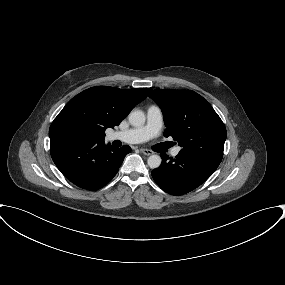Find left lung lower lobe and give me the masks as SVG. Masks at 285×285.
Instances as JSON below:
<instances>
[{"mask_svg":"<svg viewBox=\"0 0 285 285\" xmlns=\"http://www.w3.org/2000/svg\"><path fill=\"white\" fill-rule=\"evenodd\" d=\"M162 164L152 171L158 186L172 195L186 194L204 183L220 162L199 155L179 152L175 159L161 154Z\"/></svg>","mask_w":285,"mask_h":285,"instance_id":"0a47b994","label":"left lung lower lobe"}]
</instances>
